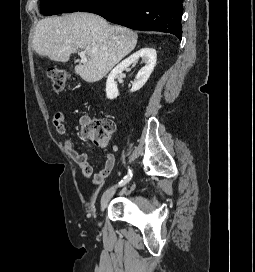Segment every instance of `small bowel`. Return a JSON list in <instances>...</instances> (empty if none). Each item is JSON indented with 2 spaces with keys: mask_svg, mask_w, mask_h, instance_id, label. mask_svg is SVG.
Listing matches in <instances>:
<instances>
[{
  "mask_svg": "<svg viewBox=\"0 0 255 272\" xmlns=\"http://www.w3.org/2000/svg\"><path fill=\"white\" fill-rule=\"evenodd\" d=\"M53 126L57 133L64 137L63 145L67 153L73 159V161L79 166L82 173L86 177H90L95 167L90 163L88 154L84 151H80L76 144L66 137V127L64 125V114L62 112H56L53 116ZM89 147L93 150L95 148L92 145ZM115 162V157L112 152L106 153L103 164L98 168V172L92 177L91 181L94 185H102L105 179L110 174Z\"/></svg>",
  "mask_w": 255,
  "mask_h": 272,
  "instance_id": "obj_1",
  "label": "small bowel"
}]
</instances>
